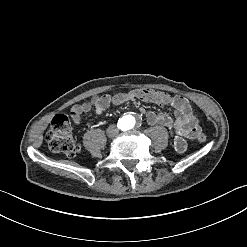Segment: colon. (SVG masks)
Masks as SVG:
<instances>
[{
  "mask_svg": "<svg viewBox=\"0 0 247 247\" xmlns=\"http://www.w3.org/2000/svg\"><path fill=\"white\" fill-rule=\"evenodd\" d=\"M133 96L137 101H159L161 91L159 88H134ZM115 99L122 101L124 94L117 92ZM160 106L164 107L165 103L161 102ZM71 128V122L65 115H58L54 118L45 134V141L52 152L71 156L77 153L79 145L71 135ZM194 137H197L200 141H204L206 138L204 133Z\"/></svg>",
  "mask_w": 247,
  "mask_h": 247,
  "instance_id": "5ec220e1",
  "label": "colon"
}]
</instances>
